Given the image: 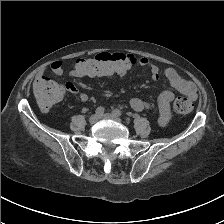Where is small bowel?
Returning <instances> with one entry per match:
<instances>
[{
  "label": "small bowel",
  "mask_w": 224,
  "mask_h": 224,
  "mask_svg": "<svg viewBox=\"0 0 224 224\" xmlns=\"http://www.w3.org/2000/svg\"><path fill=\"white\" fill-rule=\"evenodd\" d=\"M120 54V53H119ZM122 57H124L126 60H128V63L130 66L132 65H139L142 67H148L151 72V76L154 80H159L160 78V68L158 65L152 64L149 59L145 57H137L132 54H120ZM51 70L58 76L65 75V71L63 69V63L60 60L54 61L50 65ZM69 76L72 77H81V75L75 70L72 69L67 73ZM164 74L166 78L168 79L170 85L180 93L186 95L190 100H195L197 98L196 88L194 84L183 78L175 69L173 68H166L164 70ZM125 74H119L118 76L123 79ZM47 78L43 71H40L37 76V80ZM65 88L67 91H69L74 98L78 102H86L88 100V97L85 93H82L77 90V88L70 82L66 83ZM175 95L174 92L171 90H164L157 99V107H158V121L160 125H166L171 117L170 112V103L173 101ZM130 106L135 111H142L144 109H147L150 107V103L138 98L133 97L130 99Z\"/></svg>",
  "instance_id": "c3829d8e"
}]
</instances>
